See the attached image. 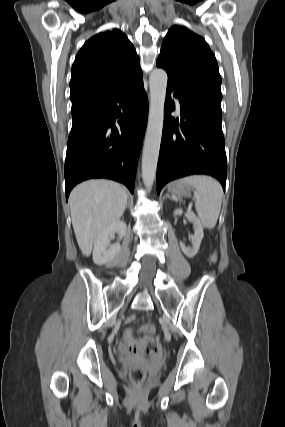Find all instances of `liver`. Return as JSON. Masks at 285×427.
Listing matches in <instances>:
<instances>
[{
    "label": "liver",
    "mask_w": 285,
    "mask_h": 427,
    "mask_svg": "<svg viewBox=\"0 0 285 427\" xmlns=\"http://www.w3.org/2000/svg\"><path fill=\"white\" fill-rule=\"evenodd\" d=\"M127 200L126 189L109 180H89L72 190V225L83 255L88 257L96 236L123 215Z\"/></svg>",
    "instance_id": "obj_1"
}]
</instances>
